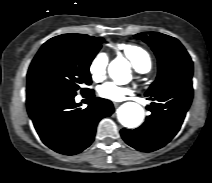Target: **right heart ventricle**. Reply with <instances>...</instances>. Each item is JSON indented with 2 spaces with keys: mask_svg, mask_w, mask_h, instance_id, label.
<instances>
[{
  "mask_svg": "<svg viewBox=\"0 0 212 183\" xmlns=\"http://www.w3.org/2000/svg\"><path fill=\"white\" fill-rule=\"evenodd\" d=\"M116 50L123 54L140 72H147L152 67V59L149 52L136 44L120 43L116 45Z\"/></svg>",
  "mask_w": 212,
  "mask_h": 183,
  "instance_id": "right-heart-ventricle-1",
  "label": "right heart ventricle"
}]
</instances>
